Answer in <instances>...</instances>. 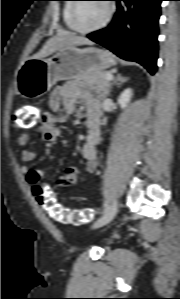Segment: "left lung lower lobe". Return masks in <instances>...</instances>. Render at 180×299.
<instances>
[{"label":"left lung lower lobe","mask_w":180,"mask_h":299,"mask_svg":"<svg viewBox=\"0 0 180 299\" xmlns=\"http://www.w3.org/2000/svg\"><path fill=\"white\" fill-rule=\"evenodd\" d=\"M114 1L117 11L110 25L90 33L88 38L124 60L140 63L153 75L157 69L158 20L163 0Z\"/></svg>","instance_id":"left-lung-lower-lobe-1"}]
</instances>
